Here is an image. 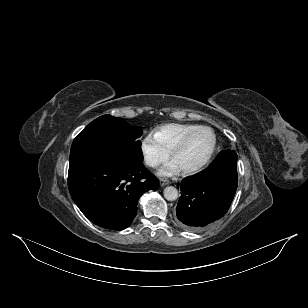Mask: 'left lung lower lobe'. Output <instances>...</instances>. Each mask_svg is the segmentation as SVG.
Wrapping results in <instances>:
<instances>
[{
  "label": "left lung lower lobe",
  "mask_w": 308,
  "mask_h": 308,
  "mask_svg": "<svg viewBox=\"0 0 308 308\" xmlns=\"http://www.w3.org/2000/svg\"><path fill=\"white\" fill-rule=\"evenodd\" d=\"M237 154L220 152L210 166L183 179L177 222L190 231L201 230L228 211L237 189Z\"/></svg>",
  "instance_id": "left-lung-lower-lobe-1"
}]
</instances>
